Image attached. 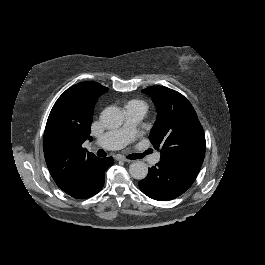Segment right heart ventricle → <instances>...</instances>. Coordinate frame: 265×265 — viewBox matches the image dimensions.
<instances>
[{"label": "right heart ventricle", "mask_w": 265, "mask_h": 265, "mask_svg": "<svg viewBox=\"0 0 265 265\" xmlns=\"http://www.w3.org/2000/svg\"><path fill=\"white\" fill-rule=\"evenodd\" d=\"M125 108H141V109L146 111L147 110V105L141 99L132 98V99H130V100H128L126 102Z\"/></svg>", "instance_id": "1"}]
</instances>
